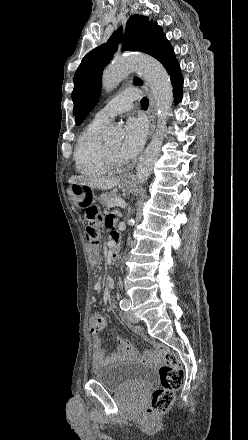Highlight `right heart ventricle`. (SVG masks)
I'll list each match as a JSON object with an SVG mask.
<instances>
[{
  "instance_id": "right-heart-ventricle-1",
  "label": "right heart ventricle",
  "mask_w": 248,
  "mask_h": 440,
  "mask_svg": "<svg viewBox=\"0 0 248 440\" xmlns=\"http://www.w3.org/2000/svg\"><path fill=\"white\" fill-rule=\"evenodd\" d=\"M103 127L104 124L93 120L78 138L74 161L77 171L82 175L97 177L110 171L104 159V143L101 137Z\"/></svg>"
}]
</instances>
